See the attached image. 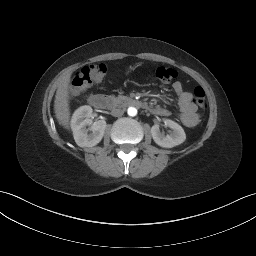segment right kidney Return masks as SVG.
Here are the masks:
<instances>
[{"mask_svg":"<svg viewBox=\"0 0 256 256\" xmlns=\"http://www.w3.org/2000/svg\"><path fill=\"white\" fill-rule=\"evenodd\" d=\"M92 108L88 105L79 107L73 114L71 119V129L76 144L80 147H93L97 145L103 138L106 122L99 120L92 122ZM87 126H90L87 128ZM91 131L88 133V131Z\"/></svg>","mask_w":256,"mask_h":256,"instance_id":"right-kidney-1","label":"right kidney"}]
</instances>
